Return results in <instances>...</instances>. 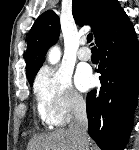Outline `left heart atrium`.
Instances as JSON below:
<instances>
[{
    "instance_id": "left-heart-atrium-1",
    "label": "left heart atrium",
    "mask_w": 139,
    "mask_h": 150,
    "mask_svg": "<svg viewBox=\"0 0 139 150\" xmlns=\"http://www.w3.org/2000/svg\"><path fill=\"white\" fill-rule=\"evenodd\" d=\"M93 84V77L88 71L80 70L76 75V85L77 87L85 91Z\"/></svg>"
}]
</instances>
